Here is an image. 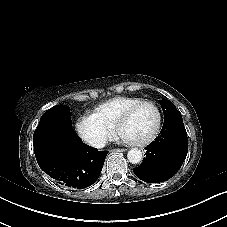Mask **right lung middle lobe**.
Listing matches in <instances>:
<instances>
[{"label":"right lung middle lobe","mask_w":227,"mask_h":227,"mask_svg":"<svg viewBox=\"0 0 227 227\" xmlns=\"http://www.w3.org/2000/svg\"><path fill=\"white\" fill-rule=\"evenodd\" d=\"M47 128L59 129L72 141L81 140L72 128L71 112L66 105L54 106L44 113L34 133Z\"/></svg>","instance_id":"right-lung-middle-lobe-1"}]
</instances>
